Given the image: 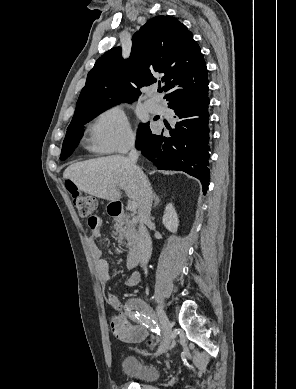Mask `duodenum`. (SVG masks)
<instances>
[{
	"label": "duodenum",
	"mask_w": 296,
	"mask_h": 389,
	"mask_svg": "<svg viewBox=\"0 0 296 389\" xmlns=\"http://www.w3.org/2000/svg\"><path fill=\"white\" fill-rule=\"evenodd\" d=\"M109 213L117 219L124 218V210L119 202H113L110 205ZM151 253V243L148 239L142 237L135 229L130 236V253L128 257V267L134 268L139 263L147 260Z\"/></svg>",
	"instance_id": "duodenum-1"
}]
</instances>
